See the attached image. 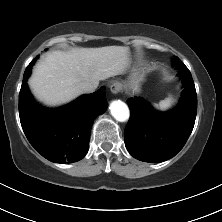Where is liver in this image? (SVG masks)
I'll return each instance as SVG.
<instances>
[{
  "label": "liver",
  "mask_w": 222,
  "mask_h": 222,
  "mask_svg": "<svg viewBox=\"0 0 222 222\" xmlns=\"http://www.w3.org/2000/svg\"><path fill=\"white\" fill-rule=\"evenodd\" d=\"M128 64L129 49L125 46L56 50L36 65L29 85L39 101L57 106L81 95V83L98 84L122 74Z\"/></svg>",
  "instance_id": "liver-1"
}]
</instances>
